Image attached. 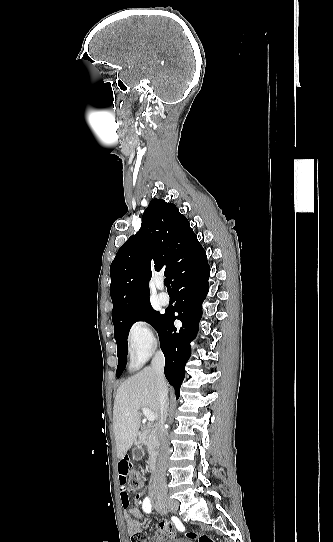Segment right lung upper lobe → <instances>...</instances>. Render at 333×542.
I'll return each instance as SVG.
<instances>
[{"label":"right lung upper lobe","instance_id":"1","mask_svg":"<svg viewBox=\"0 0 333 542\" xmlns=\"http://www.w3.org/2000/svg\"><path fill=\"white\" fill-rule=\"evenodd\" d=\"M196 241L189 221L174 204L153 199L145 209L140 230L111 263L112 320L149 305L152 271L164 270L172 282L177 253Z\"/></svg>","mask_w":333,"mask_h":542}]
</instances>
